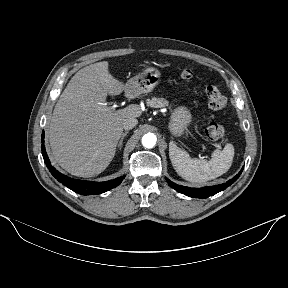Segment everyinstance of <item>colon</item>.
<instances>
[{
	"mask_svg": "<svg viewBox=\"0 0 288 288\" xmlns=\"http://www.w3.org/2000/svg\"><path fill=\"white\" fill-rule=\"evenodd\" d=\"M181 77L185 80L194 79V73L190 69L181 71ZM207 105L212 113L221 111L226 106V98L220 90L214 86H208L205 90ZM205 134L208 139L224 143L226 141L225 129L212 114L205 127Z\"/></svg>",
	"mask_w": 288,
	"mask_h": 288,
	"instance_id": "colon-1",
	"label": "colon"
}]
</instances>
